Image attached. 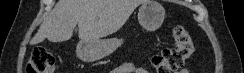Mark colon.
Listing matches in <instances>:
<instances>
[{"label":"colon","mask_w":244,"mask_h":73,"mask_svg":"<svg viewBox=\"0 0 244 73\" xmlns=\"http://www.w3.org/2000/svg\"><path fill=\"white\" fill-rule=\"evenodd\" d=\"M174 45L166 47L151 58L157 73H175L192 56L195 50L191 34L182 26L172 29ZM56 60L43 48H35L26 66V73H54Z\"/></svg>","instance_id":"5ec220e1"}]
</instances>
